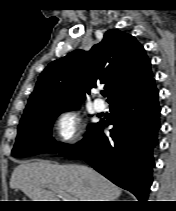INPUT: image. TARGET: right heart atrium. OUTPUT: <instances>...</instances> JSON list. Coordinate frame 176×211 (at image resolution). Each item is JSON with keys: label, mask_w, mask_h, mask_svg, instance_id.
<instances>
[{"label": "right heart atrium", "mask_w": 176, "mask_h": 211, "mask_svg": "<svg viewBox=\"0 0 176 211\" xmlns=\"http://www.w3.org/2000/svg\"><path fill=\"white\" fill-rule=\"evenodd\" d=\"M52 128L61 144L75 146L81 139L82 119L74 110H64L56 115Z\"/></svg>", "instance_id": "d8ad5b80"}]
</instances>
